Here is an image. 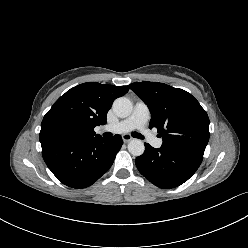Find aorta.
<instances>
[{"label": "aorta", "mask_w": 248, "mask_h": 248, "mask_svg": "<svg viewBox=\"0 0 248 248\" xmlns=\"http://www.w3.org/2000/svg\"><path fill=\"white\" fill-rule=\"evenodd\" d=\"M113 111L120 118L128 117L133 109L132 102L126 97H119L113 102ZM145 150L144 143L139 139H133L128 143V151L133 156H140Z\"/></svg>", "instance_id": "aorta-1"}]
</instances>
